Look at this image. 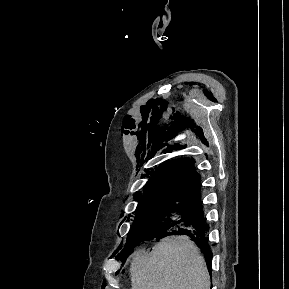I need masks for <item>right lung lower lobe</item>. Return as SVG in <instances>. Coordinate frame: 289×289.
I'll use <instances>...</instances> for the list:
<instances>
[{
	"instance_id": "obj_1",
	"label": "right lung lower lobe",
	"mask_w": 289,
	"mask_h": 289,
	"mask_svg": "<svg viewBox=\"0 0 289 289\" xmlns=\"http://www.w3.org/2000/svg\"><path fill=\"white\" fill-rule=\"evenodd\" d=\"M208 230H209V226L206 224L203 209H202L201 203L199 202L196 208L194 209L192 216L186 222L183 223L181 228H179L177 231L172 232V234H169V235H188L189 237H191L193 241L201 248L202 253L205 255L207 266L210 269L212 253L210 251V246L208 245V241L206 238V234ZM153 238L160 239L162 238V236H159V235L153 236L151 239ZM145 240H150V239H145ZM137 244L135 243L132 244L127 249V251L123 254L122 257L125 258L128 255V252L129 254H131V250Z\"/></svg>"
}]
</instances>
